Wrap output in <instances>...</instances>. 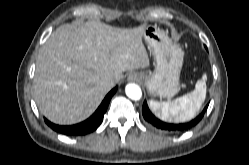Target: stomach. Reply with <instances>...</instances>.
<instances>
[{"label":"stomach","instance_id":"obj_1","mask_svg":"<svg viewBox=\"0 0 249 165\" xmlns=\"http://www.w3.org/2000/svg\"><path fill=\"white\" fill-rule=\"evenodd\" d=\"M143 38L149 51L154 56L155 70L153 73H137L144 83L150 96L171 98L179 90L180 72L184 53L181 47L174 44L168 35L154 25H147Z\"/></svg>","mask_w":249,"mask_h":165}]
</instances>
